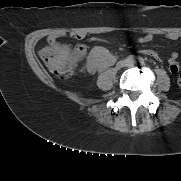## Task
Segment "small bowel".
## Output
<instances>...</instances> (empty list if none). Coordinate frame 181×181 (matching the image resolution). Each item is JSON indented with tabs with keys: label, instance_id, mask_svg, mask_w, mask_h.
<instances>
[{
	"label": "small bowel",
	"instance_id": "small-bowel-1",
	"mask_svg": "<svg viewBox=\"0 0 181 181\" xmlns=\"http://www.w3.org/2000/svg\"><path fill=\"white\" fill-rule=\"evenodd\" d=\"M71 37L80 40V39L85 38V35L81 34V33H74V34H71ZM165 37L169 40H177L181 37V34L177 33V32H170V33H167L165 35ZM153 39H154L153 34H145L144 36H141L138 38V42L141 44H145V43L151 42ZM47 41H48V44L50 46L68 49V47L66 45L58 43V36L57 35L52 34V35L48 36ZM83 48H84V51L82 53H80L78 55V57H81L85 53V47L83 46ZM140 52L146 56H149V57H152L156 60H159L158 53L153 51V50L143 49V50H140ZM177 59H178V54L172 53L171 57L168 60L169 70L173 74H177L180 71V65H179ZM95 69H96V67L94 64H89V70L90 71L93 72V71H95Z\"/></svg>",
	"mask_w": 181,
	"mask_h": 181
}]
</instances>
